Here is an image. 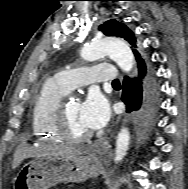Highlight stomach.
<instances>
[{"mask_svg": "<svg viewBox=\"0 0 188 189\" xmlns=\"http://www.w3.org/2000/svg\"><path fill=\"white\" fill-rule=\"evenodd\" d=\"M95 154L38 157L25 164L14 179V189H49L61 182H83L97 177Z\"/></svg>", "mask_w": 188, "mask_h": 189, "instance_id": "0dacf381", "label": "stomach"}]
</instances>
